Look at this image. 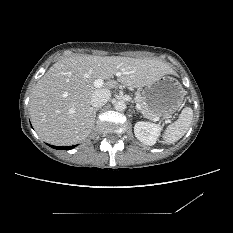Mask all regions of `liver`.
I'll use <instances>...</instances> for the list:
<instances>
[{"mask_svg":"<svg viewBox=\"0 0 233 233\" xmlns=\"http://www.w3.org/2000/svg\"><path fill=\"white\" fill-rule=\"evenodd\" d=\"M173 69L157 59L79 55L54 63L33 89L30 115L38 135L53 145L67 146L86 139L94 125L92 94L118 82L132 88L153 84ZM96 88V79H111Z\"/></svg>","mask_w":233,"mask_h":233,"instance_id":"obj_1","label":"liver"}]
</instances>
